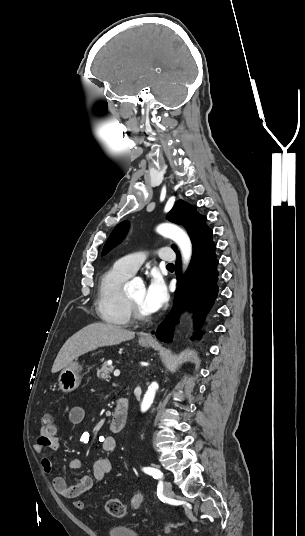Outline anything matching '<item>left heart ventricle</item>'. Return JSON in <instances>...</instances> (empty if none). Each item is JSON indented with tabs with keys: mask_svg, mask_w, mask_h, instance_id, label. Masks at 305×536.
I'll return each instance as SVG.
<instances>
[{
	"mask_svg": "<svg viewBox=\"0 0 305 536\" xmlns=\"http://www.w3.org/2000/svg\"><path fill=\"white\" fill-rule=\"evenodd\" d=\"M130 297V299L133 301V303L135 305H137V307H139L143 312L145 313H149L145 310V308L143 307V304H142V301H143V297H144V289L142 286L140 287H137L133 290H131L129 293H127Z\"/></svg>",
	"mask_w": 305,
	"mask_h": 536,
	"instance_id": "b2bd125f",
	"label": "left heart ventricle"
}]
</instances>
